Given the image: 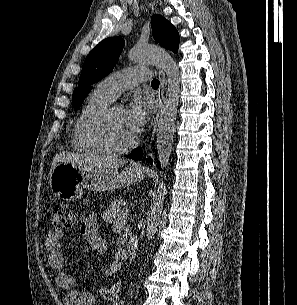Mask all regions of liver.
Returning <instances> with one entry per match:
<instances>
[{"instance_id": "6515ba94", "label": "liver", "mask_w": 297, "mask_h": 305, "mask_svg": "<svg viewBox=\"0 0 297 305\" xmlns=\"http://www.w3.org/2000/svg\"><path fill=\"white\" fill-rule=\"evenodd\" d=\"M60 162H68L77 166L100 169H117L118 167L123 166L127 163L126 160L118 158H106L100 156L60 152L53 159L49 175L52 173L55 166Z\"/></svg>"}]
</instances>
